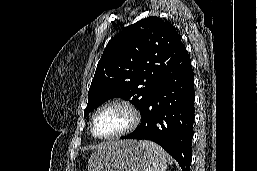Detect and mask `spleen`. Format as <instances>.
<instances>
[{
  "label": "spleen",
  "instance_id": "3e777b00",
  "mask_svg": "<svg viewBox=\"0 0 257 171\" xmlns=\"http://www.w3.org/2000/svg\"><path fill=\"white\" fill-rule=\"evenodd\" d=\"M139 144L147 159L143 171H166L168 164H172L169 155L159 145L146 140L139 141Z\"/></svg>",
  "mask_w": 257,
  "mask_h": 171
}]
</instances>
